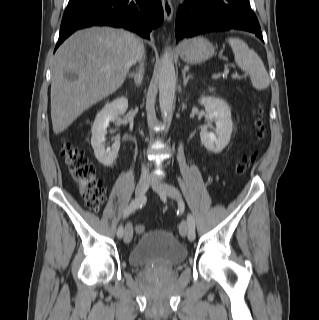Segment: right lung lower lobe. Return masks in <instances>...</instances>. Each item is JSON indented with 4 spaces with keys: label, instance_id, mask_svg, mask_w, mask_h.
<instances>
[{
    "label": "right lung lower lobe",
    "instance_id": "right-lung-lower-lobe-1",
    "mask_svg": "<svg viewBox=\"0 0 319 320\" xmlns=\"http://www.w3.org/2000/svg\"><path fill=\"white\" fill-rule=\"evenodd\" d=\"M163 17L160 0H78L65 10L56 48L74 31L93 25L123 27L149 38Z\"/></svg>",
    "mask_w": 319,
    "mask_h": 320
}]
</instances>
